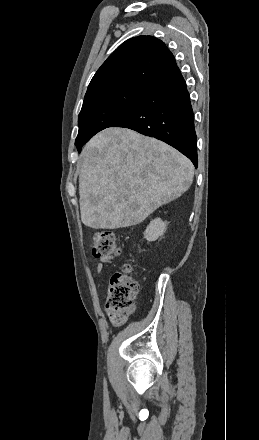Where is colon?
<instances>
[{
  "label": "colon",
  "mask_w": 259,
  "mask_h": 440,
  "mask_svg": "<svg viewBox=\"0 0 259 440\" xmlns=\"http://www.w3.org/2000/svg\"><path fill=\"white\" fill-rule=\"evenodd\" d=\"M91 250L94 257H113L120 254V247L114 234L108 231L96 232ZM139 290L138 282L133 277L132 268L126 265L121 271L111 276L106 298V311L111 322L123 324L133 311V300Z\"/></svg>",
  "instance_id": "colon-1"
}]
</instances>
